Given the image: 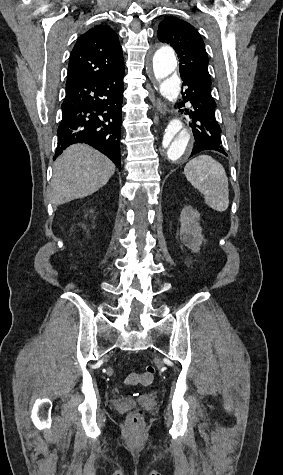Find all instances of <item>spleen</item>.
Returning a JSON list of instances; mask_svg holds the SVG:
<instances>
[{
	"label": "spleen",
	"instance_id": "obj_1",
	"mask_svg": "<svg viewBox=\"0 0 283 475\" xmlns=\"http://www.w3.org/2000/svg\"><path fill=\"white\" fill-rule=\"evenodd\" d=\"M184 174L205 198L212 210L225 212L229 206V188L226 172L211 156H198L190 160L184 168Z\"/></svg>",
	"mask_w": 283,
	"mask_h": 475
}]
</instances>
